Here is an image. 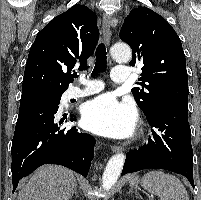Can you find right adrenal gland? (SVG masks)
Wrapping results in <instances>:
<instances>
[{
    "label": "right adrenal gland",
    "instance_id": "obj_1",
    "mask_svg": "<svg viewBox=\"0 0 201 200\" xmlns=\"http://www.w3.org/2000/svg\"><path fill=\"white\" fill-rule=\"evenodd\" d=\"M74 194H77V185H76V184H75V186H74V190H73V192H72L70 198H72Z\"/></svg>",
    "mask_w": 201,
    "mask_h": 200
}]
</instances>
